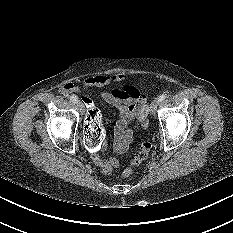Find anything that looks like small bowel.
Listing matches in <instances>:
<instances>
[{
    "label": "small bowel",
    "mask_w": 233,
    "mask_h": 233,
    "mask_svg": "<svg viewBox=\"0 0 233 233\" xmlns=\"http://www.w3.org/2000/svg\"><path fill=\"white\" fill-rule=\"evenodd\" d=\"M123 79L124 75L120 73L89 77L83 83V90L120 83ZM79 92L80 88L72 83H67L60 89V93L63 95H74ZM101 97L118 111L119 117L114 130L113 149L117 153H124L132 141L134 132L147 116L146 97L132 85H123L111 91H104ZM102 142L101 151L106 148L104 138ZM93 161L104 174H110L118 167V162L115 159L102 158L98 152L93 154Z\"/></svg>",
    "instance_id": "c3829d8e"
}]
</instances>
